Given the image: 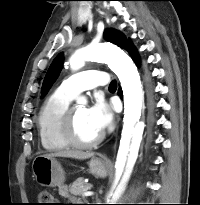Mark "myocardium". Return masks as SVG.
Returning <instances> with one entry per match:
<instances>
[{"label":"myocardium","instance_id":"1","mask_svg":"<svg viewBox=\"0 0 200 205\" xmlns=\"http://www.w3.org/2000/svg\"><path fill=\"white\" fill-rule=\"evenodd\" d=\"M75 107L70 106L66 110V113L62 122V135L64 140L67 142L69 146L86 149L97 146L104 139V134L101 132L98 137L91 141H82L78 139L75 132Z\"/></svg>","mask_w":200,"mask_h":205}]
</instances>
